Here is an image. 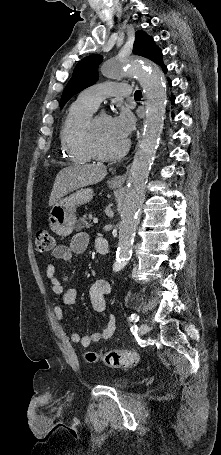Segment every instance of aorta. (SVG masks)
I'll use <instances>...</instances> for the list:
<instances>
[{
  "label": "aorta",
  "mask_w": 221,
  "mask_h": 455,
  "mask_svg": "<svg viewBox=\"0 0 221 455\" xmlns=\"http://www.w3.org/2000/svg\"><path fill=\"white\" fill-rule=\"evenodd\" d=\"M108 78L136 76L143 87L146 121L139 150L131 164L119 224V241L114 269L119 270L131 257L132 245L145 198L146 181L150 173L164 125L167 94L164 74L145 58L128 57L106 61L101 68Z\"/></svg>",
  "instance_id": "obj_1"
}]
</instances>
